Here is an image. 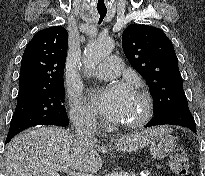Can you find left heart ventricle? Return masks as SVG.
Returning <instances> with one entry per match:
<instances>
[{
	"mask_svg": "<svg viewBox=\"0 0 205 176\" xmlns=\"http://www.w3.org/2000/svg\"><path fill=\"white\" fill-rule=\"evenodd\" d=\"M143 109L141 100L137 97V95H134L117 121L119 123L134 122L142 116Z\"/></svg>",
	"mask_w": 205,
	"mask_h": 176,
	"instance_id": "obj_1",
	"label": "left heart ventricle"
}]
</instances>
